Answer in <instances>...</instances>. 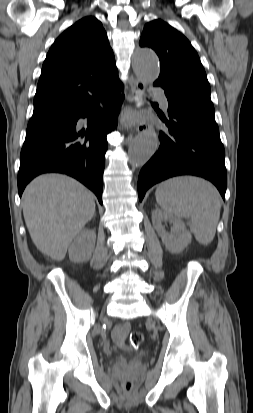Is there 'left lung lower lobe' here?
<instances>
[{"mask_svg":"<svg viewBox=\"0 0 253 413\" xmlns=\"http://www.w3.org/2000/svg\"><path fill=\"white\" fill-rule=\"evenodd\" d=\"M165 95L169 120L159 114L167 127L159 133L158 151L140 171V201L151 186L178 175H196L210 180L224 199L227 187L225 150L214 118V107L169 90H165Z\"/></svg>","mask_w":253,"mask_h":413,"instance_id":"0a47b994","label":"left lung lower lobe"}]
</instances>
